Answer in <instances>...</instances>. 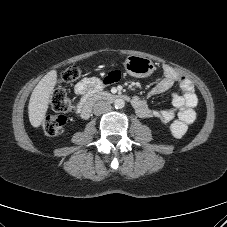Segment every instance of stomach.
<instances>
[{
	"instance_id": "stomach-1",
	"label": "stomach",
	"mask_w": 227,
	"mask_h": 227,
	"mask_svg": "<svg viewBox=\"0 0 227 227\" xmlns=\"http://www.w3.org/2000/svg\"><path fill=\"white\" fill-rule=\"evenodd\" d=\"M126 72L137 78H145L150 76L155 66L152 60L139 55H129L124 63Z\"/></svg>"
}]
</instances>
